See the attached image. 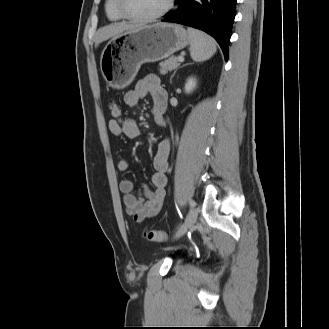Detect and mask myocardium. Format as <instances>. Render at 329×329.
Segmentation results:
<instances>
[{
  "instance_id": "f54148a6",
  "label": "myocardium",
  "mask_w": 329,
  "mask_h": 329,
  "mask_svg": "<svg viewBox=\"0 0 329 329\" xmlns=\"http://www.w3.org/2000/svg\"><path fill=\"white\" fill-rule=\"evenodd\" d=\"M174 0H167L164 8L156 14L150 16H141L130 13L125 7V0H117V7L121 15L129 20L138 21V22H152L158 20L165 16L173 7Z\"/></svg>"
}]
</instances>
